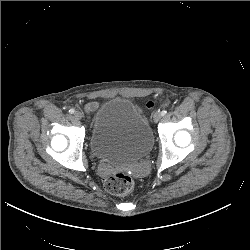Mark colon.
I'll return each mask as SVG.
<instances>
[{"instance_id":"1","label":"colon","mask_w":250,"mask_h":250,"mask_svg":"<svg viewBox=\"0 0 250 250\" xmlns=\"http://www.w3.org/2000/svg\"><path fill=\"white\" fill-rule=\"evenodd\" d=\"M154 103L149 102L148 107H153ZM105 189L114 195H126L130 193L135 186V181L130 174L116 173L105 180Z\"/></svg>"}]
</instances>
